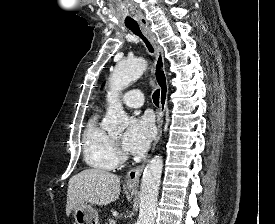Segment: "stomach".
Listing matches in <instances>:
<instances>
[{
    "instance_id": "1",
    "label": "stomach",
    "mask_w": 275,
    "mask_h": 224,
    "mask_svg": "<svg viewBox=\"0 0 275 224\" xmlns=\"http://www.w3.org/2000/svg\"><path fill=\"white\" fill-rule=\"evenodd\" d=\"M128 191L134 193V189H128ZM73 217L75 224H100L97 210L89 204L74 208Z\"/></svg>"
}]
</instances>
